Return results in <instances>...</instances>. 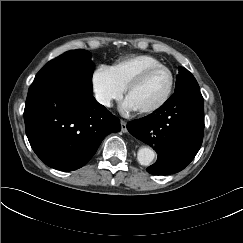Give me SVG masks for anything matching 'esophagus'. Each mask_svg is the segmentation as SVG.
Masks as SVG:
<instances>
[{"instance_id":"1","label":"esophagus","mask_w":243,"mask_h":243,"mask_svg":"<svg viewBox=\"0 0 243 243\" xmlns=\"http://www.w3.org/2000/svg\"><path fill=\"white\" fill-rule=\"evenodd\" d=\"M121 130L123 133L127 132V123L124 120H120Z\"/></svg>"}]
</instances>
